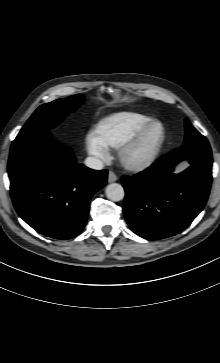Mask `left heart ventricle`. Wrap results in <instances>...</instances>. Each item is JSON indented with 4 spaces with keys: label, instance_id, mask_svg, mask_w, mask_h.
I'll use <instances>...</instances> for the list:
<instances>
[{
    "label": "left heart ventricle",
    "instance_id": "b2bd125f",
    "mask_svg": "<svg viewBox=\"0 0 220 363\" xmlns=\"http://www.w3.org/2000/svg\"><path fill=\"white\" fill-rule=\"evenodd\" d=\"M153 136L154 135H152V137L151 138H153ZM146 147H147V144H144V145H142L136 152H135V155L136 156H139V155H141V154H143L144 152H145V150H146Z\"/></svg>",
    "mask_w": 220,
    "mask_h": 363
}]
</instances>
